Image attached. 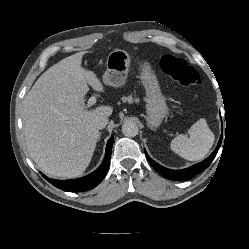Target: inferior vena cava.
Returning a JSON list of instances; mask_svg holds the SVG:
<instances>
[{"instance_id": "1", "label": "inferior vena cava", "mask_w": 249, "mask_h": 249, "mask_svg": "<svg viewBox=\"0 0 249 249\" xmlns=\"http://www.w3.org/2000/svg\"><path fill=\"white\" fill-rule=\"evenodd\" d=\"M108 123V118L107 117H100L96 120L95 126L98 129H103Z\"/></svg>"}]
</instances>
